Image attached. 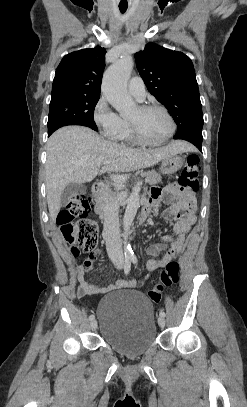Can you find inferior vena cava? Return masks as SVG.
<instances>
[{
  "instance_id": "obj_1",
  "label": "inferior vena cava",
  "mask_w": 247,
  "mask_h": 407,
  "mask_svg": "<svg viewBox=\"0 0 247 407\" xmlns=\"http://www.w3.org/2000/svg\"><path fill=\"white\" fill-rule=\"evenodd\" d=\"M118 209V203L115 199H106L103 205V236L106 241V250L111 261L116 264H123L124 256L120 240Z\"/></svg>"
}]
</instances>
